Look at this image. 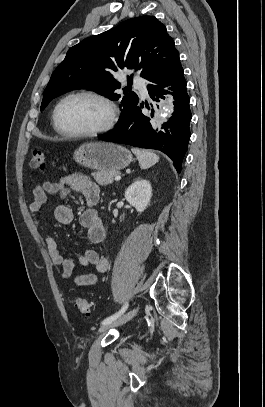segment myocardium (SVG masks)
Here are the masks:
<instances>
[{"label": "myocardium", "mask_w": 265, "mask_h": 407, "mask_svg": "<svg viewBox=\"0 0 265 407\" xmlns=\"http://www.w3.org/2000/svg\"><path fill=\"white\" fill-rule=\"evenodd\" d=\"M78 96H84V97H89V98L95 99V100L101 102L107 108L108 118L102 126L96 128V129H93V130H89V131H67V130H64L60 126L59 119H58L60 107L66 100L73 98V97H78ZM117 116H118V110H117L116 104L110 98H108L107 96L100 94L98 92L89 91V90H78V91H73L71 93H68L67 95H65L58 101V103L56 104V106L53 110V123H54L55 129L63 136L71 137V138H88V137H96V136H99L101 134H104V133L110 131L116 124Z\"/></svg>", "instance_id": "1"}]
</instances>
